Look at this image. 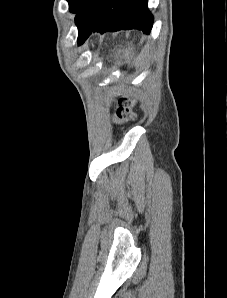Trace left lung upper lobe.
<instances>
[{
	"label": "left lung upper lobe",
	"mask_w": 227,
	"mask_h": 298,
	"mask_svg": "<svg viewBox=\"0 0 227 298\" xmlns=\"http://www.w3.org/2000/svg\"><path fill=\"white\" fill-rule=\"evenodd\" d=\"M69 3V10L77 14L75 23L78 27V41L84 37L94 28L99 20L107 0H67Z\"/></svg>",
	"instance_id": "5c2ea615"
}]
</instances>
